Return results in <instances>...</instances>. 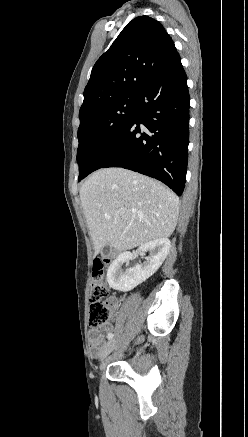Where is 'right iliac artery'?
Segmentation results:
<instances>
[{
    "label": "right iliac artery",
    "instance_id": "right-iliac-artery-1",
    "mask_svg": "<svg viewBox=\"0 0 248 437\" xmlns=\"http://www.w3.org/2000/svg\"><path fill=\"white\" fill-rule=\"evenodd\" d=\"M113 333H109L108 335H107V338L110 340V339H112L113 338Z\"/></svg>",
    "mask_w": 248,
    "mask_h": 437
}]
</instances>
